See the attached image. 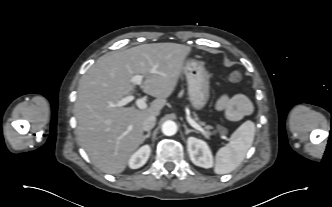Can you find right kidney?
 I'll list each match as a JSON object with an SVG mask.
<instances>
[{
	"label": "right kidney",
	"instance_id": "ca27d5eb",
	"mask_svg": "<svg viewBox=\"0 0 332 207\" xmlns=\"http://www.w3.org/2000/svg\"><path fill=\"white\" fill-rule=\"evenodd\" d=\"M151 153L149 145L142 146L138 151H136L129 159V167L132 169H138L142 167L148 160Z\"/></svg>",
	"mask_w": 332,
	"mask_h": 207
}]
</instances>
